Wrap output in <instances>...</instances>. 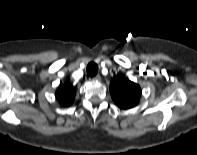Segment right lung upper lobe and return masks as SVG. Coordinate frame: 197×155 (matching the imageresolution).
Segmentation results:
<instances>
[{
    "label": "right lung upper lobe",
    "mask_w": 197,
    "mask_h": 155,
    "mask_svg": "<svg viewBox=\"0 0 197 155\" xmlns=\"http://www.w3.org/2000/svg\"><path fill=\"white\" fill-rule=\"evenodd\" d=\"M56 97L63 106H69L74 101L75 88L69 84H64L57 89Z\"/></svg>",
    "instance_id": "cb5924a9"
}]
</instances>
